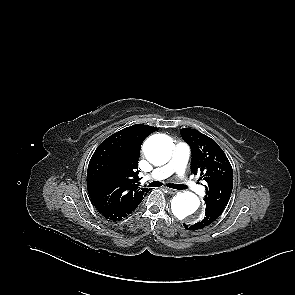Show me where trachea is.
Listing matches in <instances>:
<instances>
[{
	"label": "trachea",
	"mask_w": 295,
	"mask_h": 295,
	"mask_svg": "<svg viewBox=\"0 0 295 295\" xmlns=\"http://www.w3.org/2000/svg\"><path fill=\"white\" fill-rule=\"evenodd\" d=\"M161 185H162L161 182L154 181L152 183H149L148 186L149 187H160ZM167 186L170 188H173V189H180V190L186 189V186H184L183 184H168Z\"/></svg>",
	"instance_id": "3493384b"
}]
</instances>
